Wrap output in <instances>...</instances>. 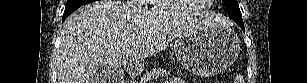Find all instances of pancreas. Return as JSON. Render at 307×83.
Wrapping results in <instances>:
<instances>
[{"instance_id": "obj_1", "label": "pancreas", "mask_w": 307, "mask_h": 83, "mask_svg": "<svg viewBox=\"0 0 307 83\" xmlns=\"http://www.w3.org/2000/svg\"><path fill=\"white\" fill-rule=\"evenodd\" d=\"M170 75V72L165 70L164 68H155L151 72H148L144 79H152V78H159V77H166Z\"/></svg>"}]
</instances>
